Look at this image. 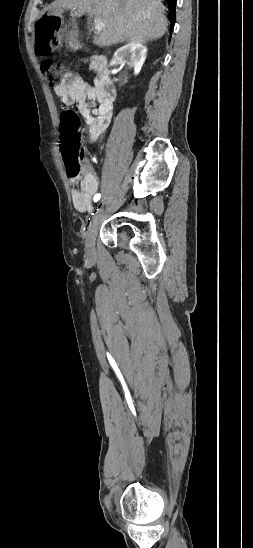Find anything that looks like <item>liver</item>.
<instances>
[{
	"label": "liver",
	"mask_w": 253,
	"mask_h": 548,
	"mask_svg": "<svg viewBox=\"0 0 253 548\" xmlns=\"http://www.w3.org/2000/svg\"><path fill=\"white\" fill-rule=\"evenodd\" d=\"M65 10L73 17L85 13L101 17L104 27L93 41L99 47L153 41L161 38L168 26L160 0H55L48 15L62 17Z\"/></svg>",
	"instance_id": "1"
}]
</instances>
